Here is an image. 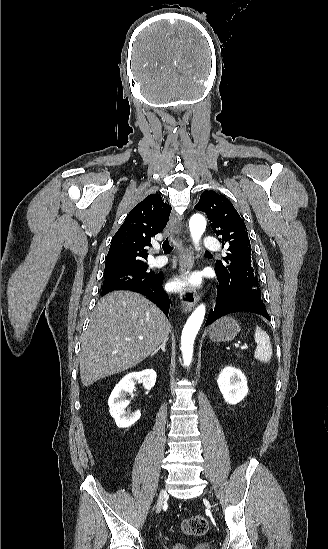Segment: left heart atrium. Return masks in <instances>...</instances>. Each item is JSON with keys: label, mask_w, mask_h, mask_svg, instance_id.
<instances>
[{"label": "left heart atrium", "mask_w": 328, "mask_h": 549, "mask_svg": "<svg viewBox=\"0 0 328 549\" xmlns=\"http://www.w3.org/2000/svg\"><path fill=\"white\" fill-rule=\"evenodd\" d=\"M197 282H198V278L196 276L190 275L174 282L173 285L177 289H182V288L192 287L196 285Z\"/></svg>", "instance_id": "left-heart-atrium-1"}]
</instances>
